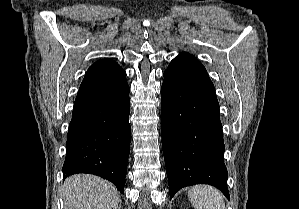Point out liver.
I'll list each match as a JSON object with an SVG mask.
<instances>
[{
    "label": "liver",
    "mask_w": 299,
    "mask_h": 209,
    "mask_svg": "<svg viewBox=\"0 0 299 209\" xmlns=\"http://www.w3.org/2000/svg\"><path fill=\"white\" fill-rule=\"evenodd\" d=\"M63 198L65 209H117L120 193L100 177L76 174L66 179Z\"/></svg>",
    "instance_id": "obj_1"
}]
</instances>
